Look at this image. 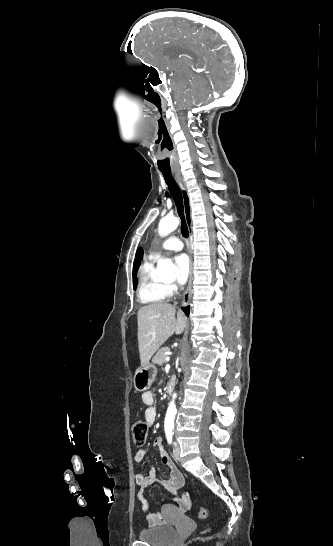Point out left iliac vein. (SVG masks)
Wrapping results in <instances>:
<instances>
[{"label": "left iliac vein", "mask_w": 333, "mask_h": 546, "mask_svg": "<svg viewBox=\"0 0 333 546\" xmlns=\"http://www.w3.org/2000/svg\"><path fill=\"white\" fill-rule=\"evenodd\" d=\"M173 456L175 459L179 460L180 459V447L178 445L177 442H174V446H173Z\"/></svg>", "instance_id": "left-iliac-vein-1"}]
</instances>
